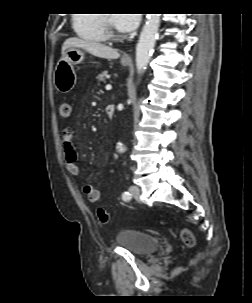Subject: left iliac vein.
Wrapping results in <instances>:
<instances>
[{
	"instance_id": "4c4485c4",
	"label": "left iliac vein",
	"mask_w": 252,
	"mask_h": 303,
	"mask_svg": "<svg viewBox=\"0 0 252 303\" xmlns=\"http://www.w3.org/2000/svg\"><path fill=\"white\" fill-rule=\"evenodd\" d=\"M129 191L131 193V195L138 201H140V189L138 186L136 185H132L130 188H129Z\"/></svg>"
}]
</instances>
